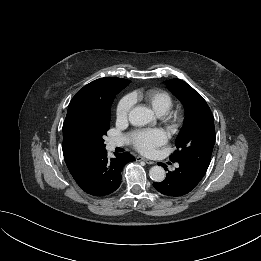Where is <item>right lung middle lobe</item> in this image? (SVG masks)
Here are the masks:
<instances>
[{"label": "right lung middle lobe", "instance_id": "dd1d6c3e", "mask_svg": "<svg viewBox=\"0 0 261 261\" xmlns=\"http://www.w3.org/2000/svg\"><path fill=\"white\" fill-rule=\"evenodd\" d=\"M129 83V80H125L113 90L107 102L72 122L69 143L77 154L90 158L95 153L105 150L103 138L110 127L111 105L115 96Z\"/></svg>", "mask_w": 261, "mask_h": 261}]
</instances>
